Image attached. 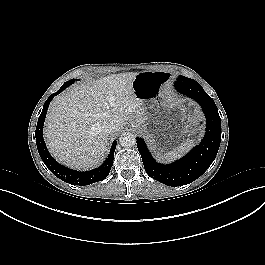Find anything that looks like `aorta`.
Wrapping results in <instances>:
<instances>
[{
    "mask_svg": "<svg viewBox=\"0 0 265 265\" xmlns=\"http://www.w3.org/2000/svg\"><path fill=\"white\" fill-rule=\"evenodd\" d=\"M119 142L121 146L129 148L135 145L136 138L132 133L125 132L121 134Z\"/></svg>",
    "mask_w": 265,
    "mask_h": 265,
    "instance_id": "762f6f07",
    "label": "aorta"
}]
</instances>
